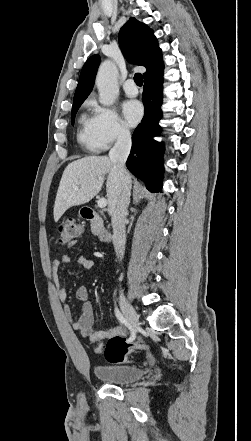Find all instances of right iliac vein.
I'll return each mask as SVG.
<instances>
[{"label": "right iliac vein", "mask_w": 251, "mask_h": 441, "mask_svg": "<svg viewBox=\"0 0 251 441\" xmlns=\"http://www.w3.org/2000/svg\"><path fill=\"white\" fill-rule=\"evenodd\" d=\"M120 306L129 325L134 332H137L140 328V321L133 306L126 300L124 296L120 297Z\"/></svg>", "instance_id": "1"}]
</instances>
